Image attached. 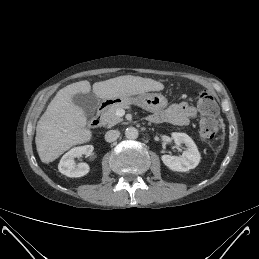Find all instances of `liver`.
Wrapping results in <instances>:
<instances>
[{"instance_id":"obj_1","label":"liver","mask_w":259,"mask_h":259,"mask_svg":"<svg viewBox=\"0 0 259 259\" xmlns=\"http://www.w3.org/2000/svg\"><path fill=\"white\" fill-rule=\"evenodd\" d=\"M93 93L100 99L160 91L164 85L150 78L125 75L93 84ZM91 85L84 80L60 89L41 116L36 127L35 143L40 160L49 163L72 146L91 139L86 128L84 111L72 101L78 93H89Z\"/></svg>"}]
</instances>
